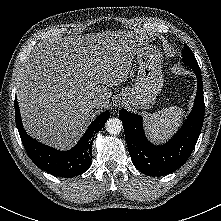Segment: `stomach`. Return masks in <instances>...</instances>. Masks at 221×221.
I'll return each instance as SVG.
<instances>
[{"instance_id":"1","label":"stomach","mask_w":221,"mask_h":221,"mask_svg":"<svg viewBox=\"0 0 221 221\" xmlns=\"http://www.w3.org/2000/svg\"><path fill=\"white\" fill-rule=\"evenodd\" d=\"M136 55L139 69L135 83L120 93L118 100L125 101L134 109L146 110L155 103L156 96L163 87L161 55L158 49L149 43Z\"/></svg>"}]
</instances>
